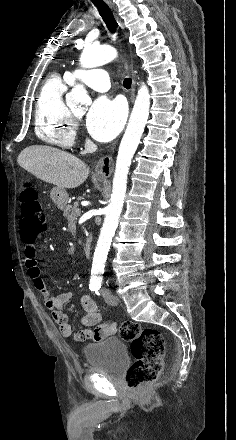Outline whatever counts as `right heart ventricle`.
<instances>
[{"instance_id":"e07e8e85","label":"right heart ventricle","mask_w":236,"mask_h":440,"mask_svg":"<svg viewBox=\"0 0 236 440\" xmlns=\"http://www.w3.org/2000/svg\"><path fill=\"white\" fill-rule=\"evenodd\" d=\"M70 83L58 74L44 82L35 109V132L45 143L66 149L75 141V123L63 95Z\"/></svg>"}]
</instances>
